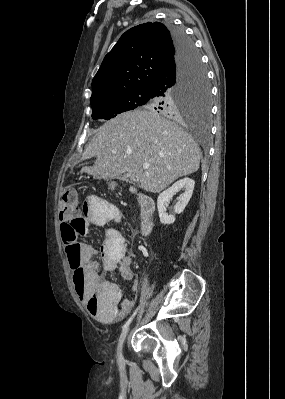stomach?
Segmentation results:
<instances>
[{
    "label": "stomach",
    "instance_id": "obj_1",
    "mask_svg": "<svg viewBox=\"0 0 285 399\" xmlns=\"http://www.w3.org/2000/svg\"><path fill=\"white\" fill-rule=\"evenodd\" d=\"M109 186H110V188H114L115 187V183L112 182V183L109 184Z\"/></svg>",
    "mask_w": 285,
    "mask_h": 399
}]
</instances>
